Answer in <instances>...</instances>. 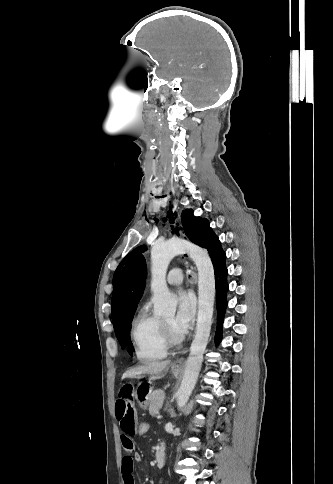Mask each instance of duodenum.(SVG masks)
Listing matches in <instances>:
<instances>
[{
    "label": "duodenum",
    "instance_id": "410a0bca",
    "mask_svg": "<svg viewBox=\"0 0 333 484\" xmlns=\"http://www.w3.org/2000/svg\"><path fill=\"white\" fill-rule=\"evenodd\" d=\"M165 448L163 446H159L156 448L155 451V463L157 467H162L165 460Z\"/></svg>",
    "mask_w": 333,
    "mask_h": 484
}]
</instances>
